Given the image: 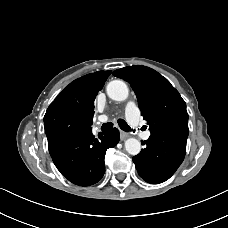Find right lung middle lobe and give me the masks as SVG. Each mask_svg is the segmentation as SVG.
I'll list each match as a JSON object with an SVG mask.
<instances>
[{
  "label": "right lung middle lobe",
  "instance_id": "obj_1",
  "mask_svg": "<svg viewBox=\"0 0 228 228\" xmlns=\"http://www.w3.org/2000/svg\"><path fill=\"white\" fill-rule=\"evenodd\" d=\"M44 126L48 145L54 144L65 137L85 131L89 128L81 116L64 109L51 112L46 111Z\"/></svg>",
  "mask_w": 228,
  "mask_h": 228
}]
</instances>
